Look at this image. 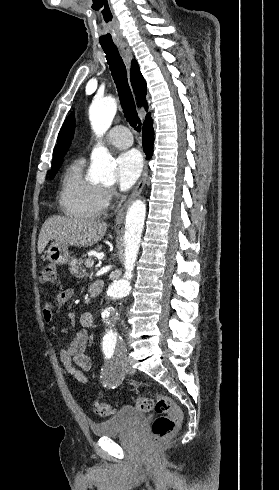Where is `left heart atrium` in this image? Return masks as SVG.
<instances>
[{
	"instance_id": "1",
	"label": "left heart atrium",
	"mask_w": 279,
	"mask_h": 490,
	"mask_svg": "<svg viewBox=\"0 0 279 490\" xmlns=\"http://www.w3.org/2000/svg\"><path fill=\"white\" fill-rule=\"evenodd\" d=\"M143 159L136 150L122 153L117 159V182L121 190L130 189L140 178Z\"/></svg>"
}]
</instances>
